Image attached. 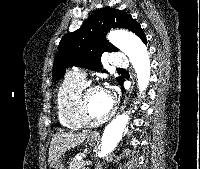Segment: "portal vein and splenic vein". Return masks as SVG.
Here are the masks:
<instances>
[{"instance_id":"portal-vein-and-splenic-vein-1","label":"portal vein and splenic vein","mask_w":200,"mask_h":169,"mask_svg":"<svg viewBox=\"0 0 200 169\" xmlns=\"http://www.w3.org/2000/svg\"><path fill=\"white\" fill-rule=\"evenodd\" d=\"M84 164H85V165H89V164H90V162H89V161H87V162H85Z\"/></svg>"}]
</instances>
